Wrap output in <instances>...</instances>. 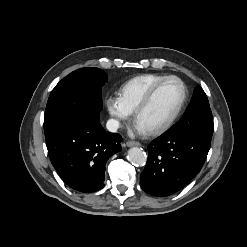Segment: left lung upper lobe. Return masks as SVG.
Listing matches in <instances>:
<instances>
[{
	"mask_svg": "<svg viewBox=\"0 0 247 247\" xmlns=\"http://www.w3.org/2000/svg\"><path fill=\"white\" fill-rule=\"evenodd\" d=\"M171 129L189 135L200 134L212 137L213 117L207 96L201 87L194 90L185 114Z\"/></svg>",
	"mask_w": 247,
	"mask_h": 247,
	"instance_id": "obj_1",
	"label": "left lung upper lobe"
}]
</instances>
